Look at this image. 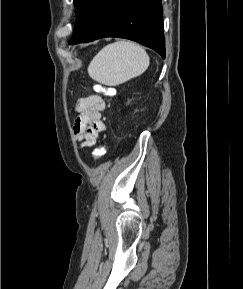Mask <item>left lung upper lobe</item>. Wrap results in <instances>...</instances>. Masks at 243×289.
I'll use <instances>...</instances> for the list:
<instances>
[{
  "instance_id": "obj_1",
  "label": "left lung upper lobe",
  "mask_w": 243,
  "mask_h": 289,
  "mask_svg": "<svg viewBox=\"0 0 243 289\" xmlns=\"http://www.w3.org/2000/svg\"><path fill=\"white\" fill-rule=\"evenodd\" d=\"M89 0H74V5L76 8V14L79 15L81 11L84 9L86 4L88 3Z\"/></svg>"
}]
</instances>
